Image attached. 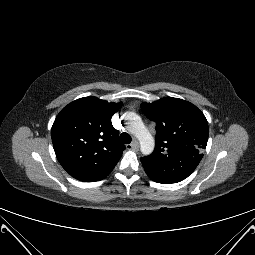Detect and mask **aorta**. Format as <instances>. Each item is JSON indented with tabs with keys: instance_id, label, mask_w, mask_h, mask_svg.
Wrapping results in <instances>:
<instances>
[{
	"instance_id": "762f6f07",
	"label": "aorta",
	"mask_w": 255,
	"mask_h": 255,
	"mask_svg": "<svg viewBox=\"0 0 255 255\" xmlns=\"http://www.w3.org/2000/svg\"><path fill=\"white\" fill-rule=\"evenodd\" d=\"M124 120L128 124V130L139 140L141 152L144 155L151 154L155 147V141L142 119L136 113L127 112L124 114Z\"/></svg>"
}]
</instances>
